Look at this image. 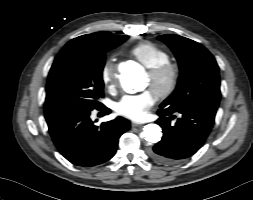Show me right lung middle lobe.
<instances>
[{
    "label": "right lung middle lobe",
    "instance_id": "obj_1",
    "mask_svg": "<svg viewBox=\"0 0 253 200\" xmlns=\"http://www.w3.org/2000/svg\"><path fill=\"white\" fill-rule=\"evenodd\" d=\"M129 37L114 36L96 47L65 45L50 69L45 112L63 109L100 108L103 97L102 71L105 54Z\"/></svg>",
    "mask_w": 253,
    "mask_h": 200
}]
</instances>
